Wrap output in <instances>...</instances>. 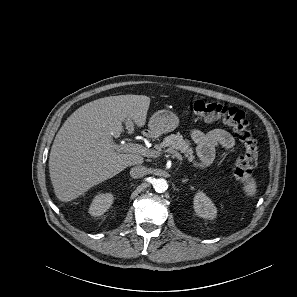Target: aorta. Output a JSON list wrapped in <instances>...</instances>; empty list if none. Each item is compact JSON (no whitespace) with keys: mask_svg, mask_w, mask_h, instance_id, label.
Segmentation results:
<instances>
[{"mask_svg":"<svg viewBox=\"0 0 297 297\" xmlns=\"http://www.w3.org/2000/svg\"><path fill=\"white\" fill-rule=\"evenodd\" d=\"M153 188L155 189L156 192L162 193L166 191L168 188L167 181L163 178L156 179L155 182L153 183Z\"/></svg>","mask_w":297,"mask_h":297,"instance_id":"aorta-1","label":"aorta"}]
</instances>
